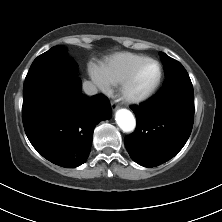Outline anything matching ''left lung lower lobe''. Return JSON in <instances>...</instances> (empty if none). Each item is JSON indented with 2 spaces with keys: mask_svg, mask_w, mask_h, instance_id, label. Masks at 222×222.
Segmentation results:
<instances>
[{
  "mask_svg": "<svg viewBox=\"0 0 222 222\" xmlns=\"http://www.w3.org/2000/svg\"><path fill=\"white\" fill-rule=\"evenodd\" d=\"M132 110L137 127L124 138L130 157L144 167L165 163L183 148L192 131V83L164 85L152 99Z\"/></svg>",
  "mask_w": 222,
  "mask_h": 222,
  "instance_id": "1",
  "label": "left lung lower lobe"
}]
</instances>
